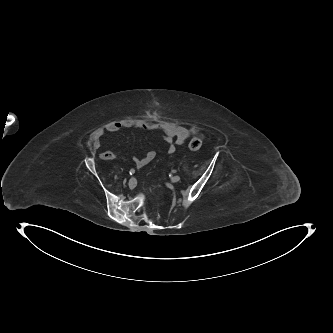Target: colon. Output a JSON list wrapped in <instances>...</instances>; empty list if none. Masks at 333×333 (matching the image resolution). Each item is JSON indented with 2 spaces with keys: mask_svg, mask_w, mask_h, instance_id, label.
I'll return each instance as SVG.
<instances>
[{
  "mask_svg": "<svg viewBox=\"0 0 333 333\" xmlns=\"http://www.w3.org/2000/svg\"><path fill=\"white\" fill-rule=\"evenodd\" d=\"M202 146V140L199 137H194L189 142V148L193 151H197Z\"/></svg>",
  "mask_w": 333,
  "mask_h": 333,
  "instance_id": "obj_1",
  "label": "colon"
}]
</instances>
